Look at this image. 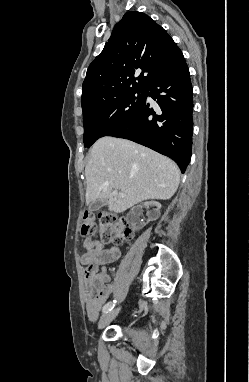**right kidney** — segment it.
Wrapping results in <instances>:
<instances>
[{"instance_id": "ca27d5eb", "label": "right kidney", "mask_w": 249, "mask_h": 382, "mask_svg": "<svg viewBox=\"0 0 249 382\" xmlns=\"http://www.w3.org/2000/svg\"><path fill=\"white\" fill-rule=\"evenodd\" d=\"M155 206V208L151 210V208ZM160 208L161 204L155 201H151V199H146V201L143 202V204L135 205V207L132 209V213L129 214V219L131 220V226L135 227L136 230H143L144 226L150 222L154 221L159 218L160 216ZM147 211H150L147 213ZM148 216L147 221L145 220V217H138L141 214H146ZM146 221V222H145Z\"/></svg>"}]
</instances>
